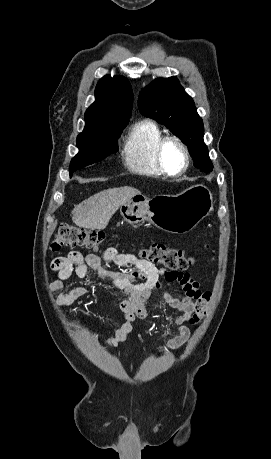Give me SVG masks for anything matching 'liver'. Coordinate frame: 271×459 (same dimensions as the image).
<instances>
[{"label":"liver","instance_id":"liver-1","mask_svg":"<svg viewBox=\"0 0 271 459\" xmlns=\"http://www.w3.org/2000/svg\"><path fill=\"white\" fill-rule=\"evenodd\" d=\"M132 196H141V192L129 186L104 190L75 206L72 220L79 228L105 229L113 214Z\"/></svg>","mask_w":271,"mask_h":459}]
</instances>
